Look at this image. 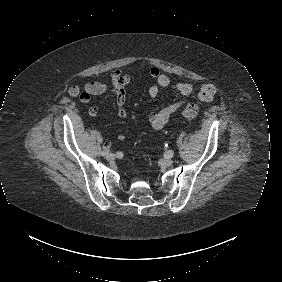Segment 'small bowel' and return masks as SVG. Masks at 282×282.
<instances>
[{
  "instance_id": "1",
  "label": "small bowel",
  "mask_w": 282,
  "mask_h": 282,
  "mask_svg": "<svg viewBox=\"0 0 282 282\" xmlns=\"http://www.w3.org/2000/svg\"><path fill=\"white\" fill-rule=\"evenodd\" d=\"M149 76L154 79L155 83L152 84L148 89V94L150 98L155 99L161 89L163 88H171L174 91L180 93L185 97L194 96L196 99L200 98L201 102H212L216 89L212 84H202L198 87L193 86L188 83L183 82H171L170 78L163 74L157 67H151L148 70ZM134 79V75L132 73L123 74L121 70L116 69L111 74L110 78L105 82H92L84 87L80 86H71L68 90V93L71 97H78L81 101L83 95L92 96L102 95L107 92H111L114 94L116 98V107L117 114L120 118H125L127 116V110L125 108L126 103V91L125 87ZM88 102V101H83ZM187 103L186 99H182L175 103H172L157 112H153L149 116V124L155 130L162 129L171 116L180 110ZM99 113V108L97 106H93L88 110V114L90 117H95ZM125 133L119 132L117 134L118 140L125 139Z\"/></svg>"
}]
</instances>
